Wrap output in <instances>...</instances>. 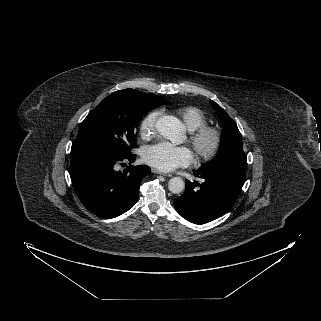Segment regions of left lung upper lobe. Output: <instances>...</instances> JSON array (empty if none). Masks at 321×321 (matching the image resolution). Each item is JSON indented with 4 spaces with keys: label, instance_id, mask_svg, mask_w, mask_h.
<instances>
[{
    "label": "left lung upper lobe",
    "instance_id": "left-lung-upper-lobe-1",
    "mask_svg": "<svg viewBox=\"0 0 321 321\" xmlns=\"http://www.w3.org/2000/svg\"><path fill=\"white\" fill-rule=\"evenodd\" d=\"M216 114L222 123V134L219 150L216 156L210 161L203 164V167L235 159H245L246 156L242 147L241 133L233 119L224 111L216 102L210 100Z\"/></svg>",
    "mask_w": 321,
    "mask_h": 321
}]
</instances>
